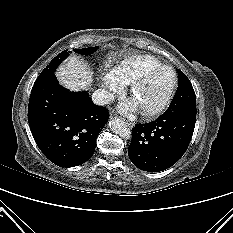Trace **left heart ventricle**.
Here are the masks:
<instances>
[{
  "label": "left heart ventricle",
  "mask_w": 233,
  "mask_h": 233,
  "mask_svg": "<svg viewBox=\"0 0 233 233\" xmlns=\"http://www.w3.org/2000/svg\"><path fill=\"white\" fill-rule=\"evenodd\" d=\"M171 75L167 72H156L137 90L134 102L138 108H150L158 104L171 85Z\"/></svg>",
  "instance_id": "1"
}]
</instances>
